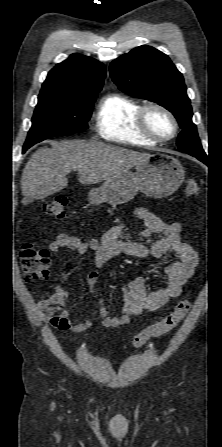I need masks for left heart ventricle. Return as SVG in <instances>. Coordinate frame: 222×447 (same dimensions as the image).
Masks as SVG:
<instances>
[{
	"mask_svg": "<svg viewBox=\"0 0 222 447\" xmlns=\"http://www.w3.org/2000/svg\"><path fill=\"white\" fill-rule=\"evenodd\" d=\"M147 125L158 136L167 137L173 131L170 119L158 110H150L147 113Z\"/></svg>",
	"mask_w": 222,
	"mask_h": 447,
	"instance_id": "1",
	"label": "left heart ventricle"
}]
</instances>
